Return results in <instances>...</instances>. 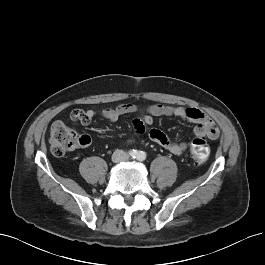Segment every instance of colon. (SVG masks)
Here are the masks:
<instances>
[{"label": "colon", "mask_w": 265, "mask_h": 265, "mask_svg": "<svg viewBox=\"0 0 265 265\" xmlns=\"http://www.w3.org/2000/svg\"><path fill=\"white\" fill-rule=\"evenodd\" d=\"M82 143L80 137L74 130L60 122H56L50 130L51 152L55 156H63L67 152L75 149ZM191 157L194 162L204 163L210 153L207 141L202 137H194L191 141Z\"/></svg>", "instance_id": "obj_1"}]
</instances>
